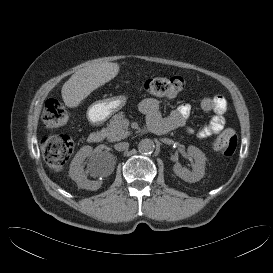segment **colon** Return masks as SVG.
Returning <instances> with one entry per match:
<instances>
[{
    "label": "colon",
    "mask_w": 273,
    "mask_h": 273,
    "mask_svg": "<svg viewBox=\"0 0 273 273\" xmlns=\"http://www.w3.org/2000/svg\"><path fill=\"white\" fill-rule=\"evenodd\" d=\"M184 87L179 76L153 77L137 85L136 89L155 97H174ZM69 120L66 106L56 99L45 103L43 121L49 128L65 125ZM213 148L223 157H231L237 148V136L232 130H225L214 141ZM41 150L47 165L53 170H61L69 160L74 141L68 136H48L41 141Z\"/></svg>",
    "instance_id": "colon-1"
}]
</instances>
